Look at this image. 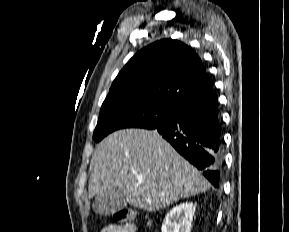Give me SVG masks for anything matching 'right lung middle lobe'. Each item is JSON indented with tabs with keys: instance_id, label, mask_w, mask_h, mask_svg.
Segmentation results:
<instances>
[{
	"instance_id": "dd1d6c3e",
	"label": "right lung middle lobe",
	"mask_w": 289,
	"mask_h": 232,
	"mask_svg": "<svg viewBox=\"0 0 289 232\" xmlns=\"http://www.w3.org/2000/svg\"><path fill=\"white\" fill-rule=\"evenodd\" d=\"M178 109L141 96L105 99L93 139L99 142L109 133L123 128L155 129L174 119Z\"/></svg>"
}]
</instances>
